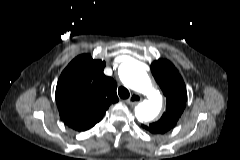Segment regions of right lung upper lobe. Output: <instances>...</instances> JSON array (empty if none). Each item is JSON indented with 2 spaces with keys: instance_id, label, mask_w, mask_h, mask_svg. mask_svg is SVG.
I'll return each mask as SVG.
<instances>
[{
  "instance_id": "1",
  "label": "right lung upper lobe",
  "mask_w": 240,
  "mask_h": 160,
  "mask_svg": "<svg viewBox=\"0 0 240 160\" xmlns=\"http://www.w3.org/2000/svg\"><path fill=\"white\" fill-rule=\"evenodd\" d=\"M105 62L89 54L73 59L64 69L56 87L61 119L77 131L98 123L111 104L118 102L116 83L104 75Z\"/></svg>"
}]
</instances>
